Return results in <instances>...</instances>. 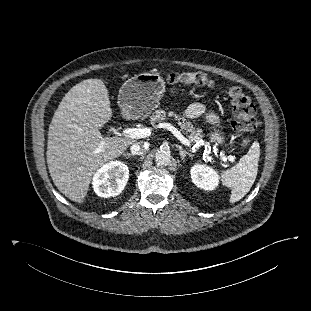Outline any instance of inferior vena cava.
<instances>
[{"mask_svg":"<svg viewBox=\"0 0 311 311\" xmlns=\"http://www.w3.org/2000/svg\"><path fill=\"white\" fill-rule=\"evenodd\" d=\"M131 153L134 155H140L145 151L144 146H141L139 143H135L130 147Z\"/></svg>","mask_w":311,"mask_h":311,"instance_id":"obj_1","label":"inferior vena cava"}]
</instances>
